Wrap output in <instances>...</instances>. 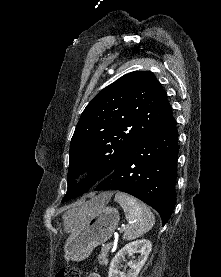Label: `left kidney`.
I'll return each instance as SVG.
<instances>
[{"label":"left kidney","mask_w":221,"mask_h":277,"mask_svg":"<svg viewBox=\"0 0 221 277\" xmlns=\"http://www.w3.org/2000/svg\"><path fill=\"white\" fill-rule=\"evenodd\" d=\"M151 248V242L146 239L136 240L126 244L111 260L108 277H137L151 252ZM134 252H139L140 256L136 260H131L126 264L125 268L127 266L129 267L127 273L124 271L121 272L119 270L121 261L126 255Z\"/></svg>","instance_id":"5707ae66"}]
</instances>
